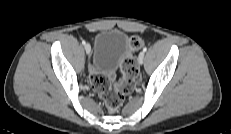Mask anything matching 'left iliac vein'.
I'll use <instances>...</instances> for the list:
<instances>
[{"label":"left iliac vein","mask_w":231,"mask_h":134,"mask_svg":"<svg viewBox=\"0 0 231 134\" xmlns=\"http://www.w3.org/2000/svg\"><path fill=\"white\" fill-rule=\"evenodd\" d=\"M144 52L143 51H141L140 53H139V56H138V62H139V64H143V61H144Z\"/></svg>","instance_id":"left-iliac-vein-1"}]
</instances>
